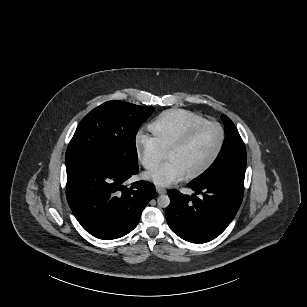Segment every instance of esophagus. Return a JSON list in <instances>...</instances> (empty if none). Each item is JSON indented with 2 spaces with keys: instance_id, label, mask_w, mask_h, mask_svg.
I'll return each mask as SVG.
<instances>
[{
  "instance_id": "1",
  "label": "esophagus",
  "mask_w": 307,
  "mask_h": 307,
  "mask_svg": "<svg viewBox=\"0 0 307 307\" xmlns=\"http://www.w3.org/2000/svg\"><path fill=\"white\" fill-rule=\"evenodd\" d=\"M156 193L161 195V194H166L167 191L162 187H156Z\"/></svg>"
}]
</instances>
